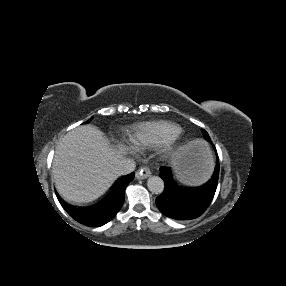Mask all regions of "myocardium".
Wrapping results in <instances>:
<instances>
[{"label":"myocardium","mask_w":286,"mask_h":286,"mask_svg":"<svg viewBox=\"0 0 286 286\" xmlns=\"http://www.w3.org/2000/svg\"><path fill=\"white\" fill-rule=\"evenodd\" d=\"M190 142V136L180 133L170 142L156 146L157 153L163 159H172Z\"/></svg>","instance_id":"1"}]
</instances>
